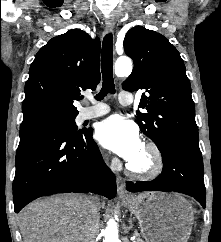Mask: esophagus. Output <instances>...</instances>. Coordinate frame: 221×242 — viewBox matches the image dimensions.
Wrapping results in <instances>:
<instances>
[{
	"label": "esophagus",
	"mask_w": 221,
	"mask_h": 242,
	"mask_svg": "<svg viewBox=\"0 0 221 242\" xmlns=\"http://www.w3.org/2000/svg\"><path fill=\"white\" fill-rule=\"evenodd\" d=\"M106 29L112 31L115 27V21L112 18L106 19L105 22ZM117 194L119 197H128L129 194L125 190V182L122 177L117 176Z\"/></svg>",
	"instance_id": "34e87169"
}]
</instances>
